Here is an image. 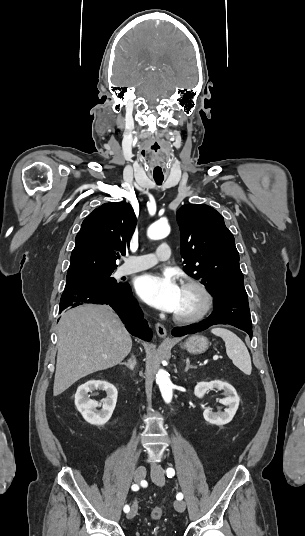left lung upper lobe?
Here are the masks:
<instances>
[{"label": "left lung upper lobe", "mask_w": 305, "mask_h": 536, "mask_svg": "<svg viewBox=\"0 0 305 536\" xmlns=\"http://www.w3.org/2000/svg\"><path fill=\"white\" fill-rule=\"evenodd\" d=\"M184 271L208 286L214 297L247 295L239 253L223 216L208 205L182 206L176 214Z\"/></svg>", "instance_id": "left-lung-upper-lobe-1"}]
</instances>
